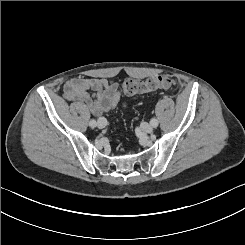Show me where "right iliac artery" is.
<instances>
[{
  "instance_id": "82829eb1",
  "label": "right iliac artery",
  "mask_w": 245,
  "mask_h": 245,
  "mask_svg": "<svg viewBox=\"0 0 245 245\" xmlns=\"http://www.w3.org/2000/svg\"><path fill=\"white\" fill-rule=\"evenodd\" d=\"M89 125L91 126V127H96V125H97V123H96V121L94 120V119H92L90 122H89Z\"/></svg>"
}]
</instances>
